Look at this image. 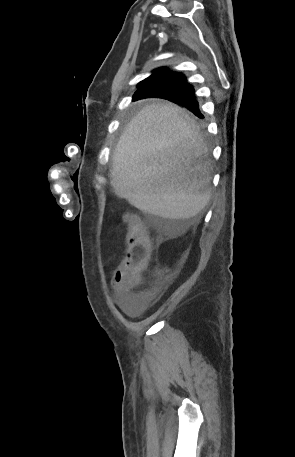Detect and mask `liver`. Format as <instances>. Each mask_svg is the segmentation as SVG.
Returning a JSON list of instances; mask_svg holds the SVG:
<instances>
[{
	"mask_svg": "<svg viewBox=\"0 0 295 457\" xmlns=\"http://www.w3.org/2000/svg\"><path fill=\"white\" fill-rule=\"evenodd\" d=\"M208 149L195 119L170 102L145 106L127 124L113 156L114 193L145 213L197 216L211 198Z\"/></svg>",
	"mask_w": 295,
	"mask_h": 457,
	"instance_id": "1",
	"label": "liver"
}]
</instances>
